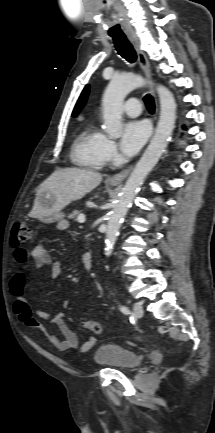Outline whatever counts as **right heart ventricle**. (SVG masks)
Masks as SVG:
<instances>
[{"label":"right heart ventricle","instance_id":"e07e8e85","mask_svg":"<svg viewBox=\"0 0 215 433\" xmlns=\"http://www.w3.org/2000/svg\"><path fill=\"white\" fill-rule=\"evenodd\" d=\"M104 140L105 135L94 122L86 123L73 144V161L87 168H102L106 163L103 155Z\"/></svg>","mask_w":215,"mask_h":433}]
</instances>
